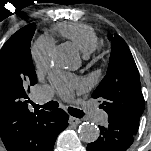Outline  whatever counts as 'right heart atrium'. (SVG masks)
Here are the masks:
<instances>
[{"mask_svg": "<svg viewBox=\"0 0 151 151\" xmlns=\"http://www.w3.org/2000/svg\"><path fill=\"white\" fill-rule=\"evenodd\" d=\"M50 49V44L43 45L42 43L38 42L33 45L31 55L37 65H42L49 59Z\"/></svg>", "mask_w": 151, "mask_h": 151, "instance_id": "1", "label": "right heart atrium"}]
</instances>
